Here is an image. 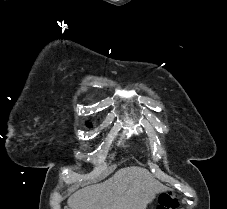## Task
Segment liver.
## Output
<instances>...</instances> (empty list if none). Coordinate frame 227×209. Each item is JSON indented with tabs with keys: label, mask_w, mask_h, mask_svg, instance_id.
Wrapping results in <instances>:
<instances>
[{
	"label": "liver",
	"mask_w": 227,
	"mask_h": 209,
	"mask_svg": "<svg viewBox=\"0 0 227 209\" xmlns=\"http://www.w3.org/2000/svg\"><path fill=\"white\" fill-rule=\"evenodd\" d=\"M148 183H155L147 169L127 167L111 179L73 193L67 201L70 209H146L155 193Z\"/></svg>",
	"instance_id": "1"
}]
</instances>
